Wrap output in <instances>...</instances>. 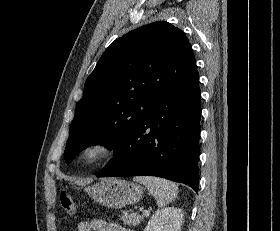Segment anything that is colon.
<instances>
[{
  "label": "colon",
  "instance_id": "obj_1",
  "mask_svg": "<svg viewBox=\"0 0 280 231\" xmlns=\"http://www.w3.org/2000/svg\"><path fill=\"white\" fill-rule=\"evenodd\" d=\"M60 205L63 208V213H73L74 212V199L71 195V193L67 191H62L59 196Z\"/></svg>",
  "mask_w": 280,
  "mask_h": 231
}]
</instances>
